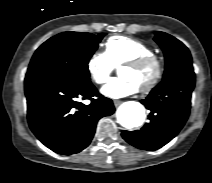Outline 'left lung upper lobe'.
<instances>
[{
	"label": "left lung upper lobe",
	"mask_w": 212,
	"mask_h": 183,
	"mask_svg": "<svg viewBox=\"0 0 212 183\" xmlns=\"http://www.w3.org/2000/svg\"><path fill=\"white\" fill-rule=\"evenodd\" d=\"M155 34L154 40L160 45L165 55L166 66L163 79L171 76L179 68L192 64L190 52L182 42L164 32Z\"/></svg>",
	"instance_id": "obj_1"
}]
</instances>
